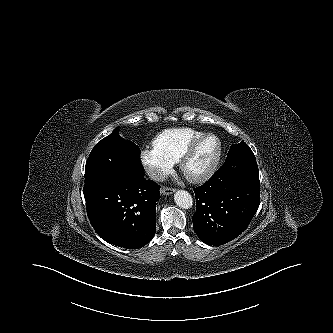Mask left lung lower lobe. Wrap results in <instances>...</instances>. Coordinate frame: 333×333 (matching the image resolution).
Here are the masks:
<instances>
[{
	"label": "left lung lower lobe",
	"instance_id": "obj_1",
	"mask_svg": "<svg viewBox=\"0 0 333 333\" xmlns=\"http://www.w3.org/2000/svg\"><path fill=\"white\" fill-rule=\"evenodd\" d=\"M194 192V231L209 245H222L238 237L260 204L259 183L237 178L224 166Z\"/></svg>",
	"mask_w": 333,
	"mask_h": 333
}]
</instances>
